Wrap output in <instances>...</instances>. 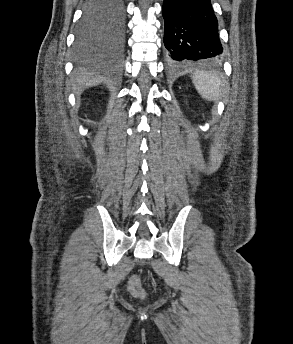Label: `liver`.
Here are the masks:
<instances>
[{"mask_svg": "<svg viewBox=\"0 0 293 344\" xmlns=\"http://www.w3.org/2000/svg\"><path fill=\"white\" fill-rule=\"evenodd\" d=\"M102 78L100 77H93L89 74L85 73H78L76 78V83L80 87H88L100 83Z\"/></svg>", "mask_w": 293, "mask_h": 344, "instance_id": "6515ba94", "label": "liver"}]
</instances>
